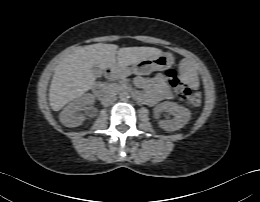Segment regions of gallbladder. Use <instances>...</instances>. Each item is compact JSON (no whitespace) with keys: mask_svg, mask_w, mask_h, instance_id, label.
Masks as SVG:
<instances>
[{"mask_svg":"<svg viewBox=\"0 0 260 202\" xmlns=\"http://www.w3.org/2000/svg\"><path fill=\"white\" fill-rule=\"evenodd\" d=\"M92 72L96 77H101L103 74V71L99 68L98 65H93Z\"/></svg>","mask_w":260,"mask_h":202,"instance_id":"obj_1","label":"gallbladder"}]
</instances>
